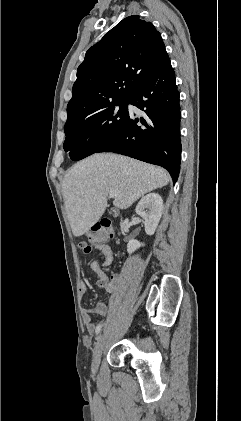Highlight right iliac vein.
<instances>
[{
  "label": "right iliac vein",
  "mask_w": 241,
  "mask_h": 421,
  "mask_svg": "<svg viewBox=\"0 0 241 421\" xmlns=\"http://www.w3.org/2000/svg\"><path fill=\"white\" fill-rule=\"evenodd\" d=\"M106 343V335L101 334L93 350L92 371L96 372Z\"/></svg>",
  "instance_id": "right-iliac-vein-1"
}]
</instances>
